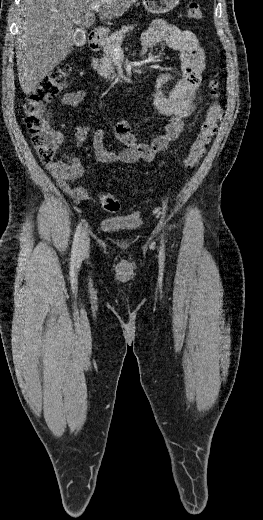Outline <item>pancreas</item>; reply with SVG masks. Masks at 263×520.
<instances>
[{"mask_svg":"<svg viewBox=\"0 0 263 520\" xmlns=\"http://www.w3.org/2000/svg\"><path fill=\"white\" fill-rule=\"evenodd\" d=\"M134 29L133 25H124L121 27L119 31L112 33L111 35H107L103 38V51L104 55L100 59H94L92 62L93 68L98 72V74L105 79H117V75L115 74L114 65H113V54L114 49L120 47L125 34Z\"/></svg>","mask_w":263,"mask_h":520,"instance_id":"pancreas-1","label":"pancreas"}]
</instances>
